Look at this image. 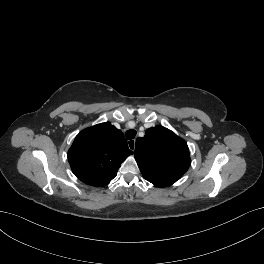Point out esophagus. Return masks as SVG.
Listing matches in <instances>:
<instances>
[{
	"instance_id": "obj_1",
	"label": "esophagus",
	"mask_w": 264,
	"mask_h": 264,
	"mask_svg": "<svg viewBox=\"0 0 264 264\" xmlns=\"http://www.w3.org/2000/svg\"><path fill=\"white\" fill-rule=\"evenodd\" d=\"M128 147L129 149H131L132 151L135 150V139H131L128 141Z\"/></svg>"
}]
</instances>
